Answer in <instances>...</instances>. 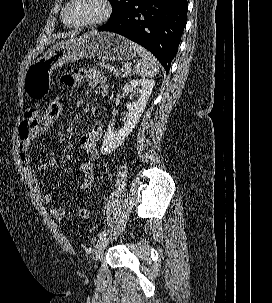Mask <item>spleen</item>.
Returning <instances> with one entry per match:
<instances>
[{"label": "spleen", "instance_id": "spleen-1", "mask_svg": "<svg viewBox=\"0 0 272 303\" xmlns=\"http://www.w3.org/2000/svg\"><path fill=\"white\" fill-rule=\"evenodd\" d=\"M132 48L141 57L135 65V73L140 77L152 78L159 72V62L142 46L132 42Z\"/></svg>", "mask_w": 272, "mask_h": 303}]
</instances>
